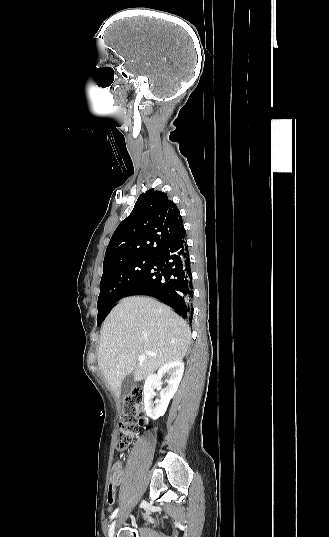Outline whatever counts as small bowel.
<instances>
[{"label":"small bowel","instance_id":"1","mask_svg":"<svg viewBox=\"0 0 329 537\" xmlns=\"http://www.w3.org/2000/svg\"><path fill=\"white\" fill-rule=\"evenodd\" d=\"M118 471H119V464H116L114 466V468H113V471H112L113 479L116 477ZM114 502H115V495L114 494L109 495V497H108L109 505L112 506L114 504Z\"/></svg>","mask_w":329,"mask_h":537}]
</instances>
